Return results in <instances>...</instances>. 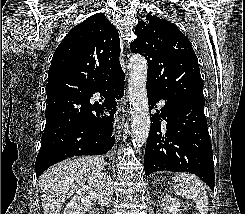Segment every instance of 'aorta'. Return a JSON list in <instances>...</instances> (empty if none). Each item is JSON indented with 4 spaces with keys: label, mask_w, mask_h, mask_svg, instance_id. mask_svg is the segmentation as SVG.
<instances>
[{
    "label": "aorta",
    "mask_w": 245,
    "mask_h": 214,
    "mask_svg": "<svg viewBox=\"0 0 245 214\" xmlns=\"http://www.w3.org/2000/svg\"><path fill=\"white\" fill-rule=\"evenodd\" d=\"M128 71L132 144L134 147H141L147 141L151 125L146 89V59L139 54L132 55L128 63Z\"/></svg>",
    "instance_id": "aorta-1"
}]
</instances>
